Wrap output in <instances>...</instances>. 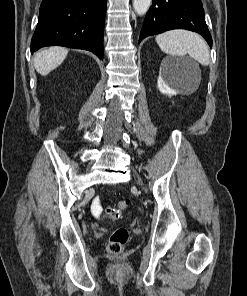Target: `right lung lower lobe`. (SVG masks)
<instances>
[{
    "label": "right lung lower lobe",
    "instance_id": "98d812e1",
    "mask_svg": "<svg viewBox=\"0 0 247 296\" xmlns=\"http://www.w3.org/2000/svg\"><path fill=\"white\" fill-rule=\"evenodd\" d=\"M106 0H43L31 52L59 45L85 49L104 58Z\"/></svg>",
    "mask_w": 247,
    "mask_h": 296
}]
</instances>
